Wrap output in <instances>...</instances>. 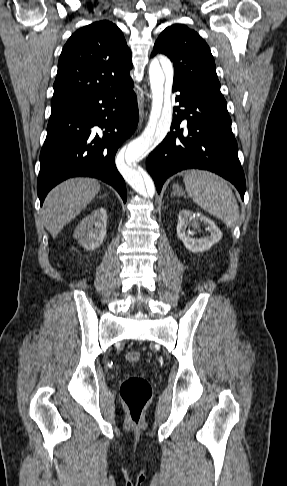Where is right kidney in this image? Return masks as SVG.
<instances>
[{"label": "right kidney", "instance_id": "right-kidney-1", "mask_svg": "<svg viewBox=\"0 0 287 486\" xmlns=\"http://www.w3.org/2000/svg\"><path fill=\"white\" fill-rule=\"evenodd\" d=\"M107 211L100 207L91 212L75 228L73 237L87 250L98 248L106 237Z\"/></svg>", "mask_w": 287, "mask_h": 486}]
</instances>
